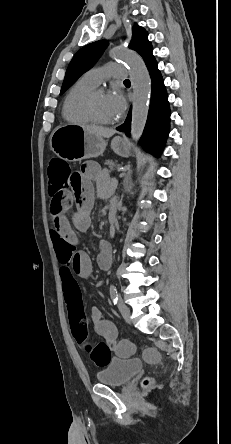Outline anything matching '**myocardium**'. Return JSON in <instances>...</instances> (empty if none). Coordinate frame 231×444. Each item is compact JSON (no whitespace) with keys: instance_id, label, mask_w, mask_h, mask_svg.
Listing matches in <instances>:
<instances>
[{"instance_id":"myocardium-1","label":"myocardium","mask_w":231,"mask_h":444,"mask_svg":"<svg viewBox=\"0 0 231 444\" xmlns=\"http://www.w3.org/2000/svg\"><path fill=\"white\" fill-rule=\"evenodd\" d=\"M98 94H106V91L104 88H94L92 91H90L88 93V95L86 96L85 100H84V111L85 114L87 115V117L89 118V120L95 124H99V125H108V124H113L116 122V119H111V120H102L100 118H98L94 112V108H93V102L95 97Z\"/></svg>"}]
</instances>
